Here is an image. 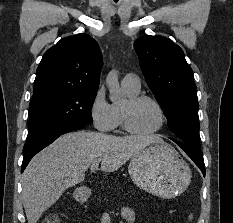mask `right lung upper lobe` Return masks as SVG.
Instances as JSON below:
<instances>
[{"label":"right lung upper lobe","instance_id":"1","mask_svg":"<svg viewBox=\"0 0 233 223\" xmlns=\"http://www.w3.org/2000/svg\"><path fill=\"white\" fill-rule=\"evenodd\" d=\"M102 64L101 50L91 36L80 33L63 38L44 54L33 95L55 90L97 91Z\"/></svg>","mask_w":233,"mask_h":223}]
</instances>
